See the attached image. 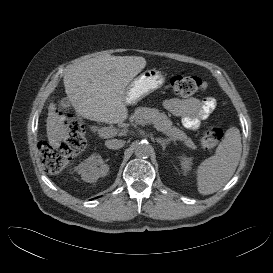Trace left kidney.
<instances>
[{
	"label": "left kidney",
	"instance_id": "1",
	"mask_svg": "<svg viewBox=\"0 0 273 273\" xmlns=\"http://www.w3.org/2000/svg\"><path fill=\"white\" fill-rule=\"evenodd\" d=\"M180 165H181V169L184 172V174H187L191 170V166H192L191 158L182 157L180 159Z\"/></svg>",
	"mask_w": 273,
	"mask_h": 273
}]
</instances>
